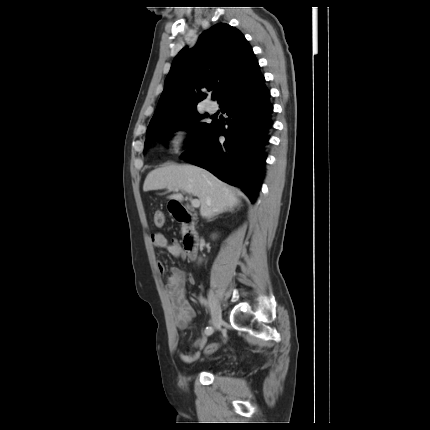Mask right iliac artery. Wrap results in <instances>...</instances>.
I'll use <instances>...</instances> for the list:
<instances>
[{"label": "right iliac artery", "instance_id": "right-iliac-artery-1", "mask_svg": "<svg viewBox=\"0 0 430 430\" xmlns=\"http://www.w3.org/2000/svg\"><path fill=\"white\" fill-rule=\"evenodd\" d=\"M200 302H201L203 305H207V301H206L205 299H203V298H200ZM205 333H206L207 335H211V334L213 333V328H212V327H206V329H205Z\"/></svg>", "mask_w": 430, "mask_h": 430}]
</instances>
